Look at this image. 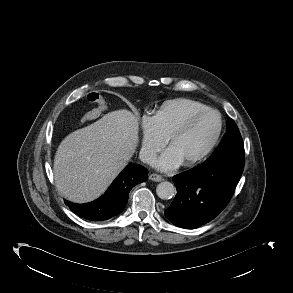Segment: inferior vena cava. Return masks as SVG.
Segmentation results:
<instances>
[{"mask_svg":"<svg viewBox=\"0 0 293 293\" xmlns=\"http://www.w3.org/2000/svg\"><path fill=\"white\" fill-rule=\"evenodd\" d=\"M155 156L156 155L152 150L146 148H142L139 153L140 160L146 164L153 163V161L155 160Z\"/></svg>","mask_w":293,"mask_h":293,"instance_id":"inferior-vena-cava-1","label":"inferior vena cava"}]
</instances>
